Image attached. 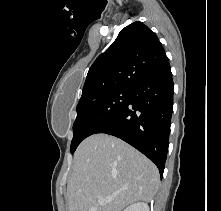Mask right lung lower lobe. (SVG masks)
Wrapping results in <instances>:
<instances>
[{
    "mask_svg": "<svg viewBox=\"0 0 221 211\" xmlns=\"http://www.w3.org/2000/svg\"><path fill=\"white\" fill-rule=\"evenodd\" d=\"M173 93L170 68L140 80L131 87L125 106L96 133L116 136L135 147L155 163L162 178L169 144Z\"/></svg>",
    "mask_w": 221,
    "mask_h": 211,
    "instance_id": "obj_1",
    "label": "right lung lower lobe"
}]
</instances>
